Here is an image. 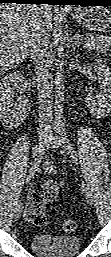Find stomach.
<instances>
[{"label":"stomach","instance_id":"stomach-1","mask_svg":"<svg viewBox=\"0 0 111 257\" xmlns=\"http://www.w3.org/2000/svg\"><path fill=\"white\" fill-rule=\"evenodd\" d=\"M72 17L91 31H104L111 24V14L105 7H78L74 9Z\"/></svg>","mask_w":111,"mask_h":257}]
</instances>
